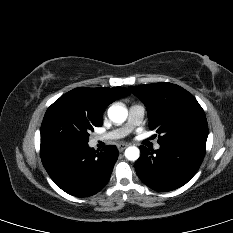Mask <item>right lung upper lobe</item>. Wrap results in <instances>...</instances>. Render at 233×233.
I'll return each instance as SVG.
<instances>
[{"mask_svg":"<svg viewBox=\"0 0 233 233\" xmlns=\"http://www.w3.org/2000/svg\"><path fill=\"white\" fill-rule=\"evenodd\" d=\"M127 95H130V92L123 87H102L75 88L64 94L63 97L69 99L87 115L96 119H102L103 111L109 104Z\"/></svg>","mask_w":233,"mask_h":233,"instance_id":"cb5924a9","label":"right lung upper lobe"}]
</instances>
